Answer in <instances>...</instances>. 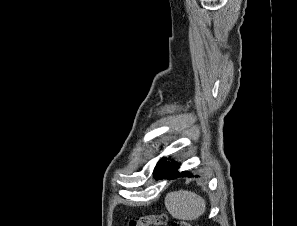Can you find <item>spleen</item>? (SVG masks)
Instances as JSON below:
<instances>
[{
  "instance_id": "1",
  "label": "spleen",
  "mask_w": 297,
  "mask_h": 226,
  "mask_svg": "<svg viewBox=\"0 0 297 226\" xmlns=\"http://www.w3.org/2000/svg\"><path fill=\"white\" fill-rule=\"evenodd\" d=\"M165 206L176 219L195 220L206 210V201L194 192L178 190L165 197Z\"/></svg>"
}]
</instances>
